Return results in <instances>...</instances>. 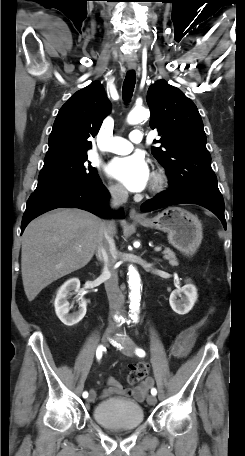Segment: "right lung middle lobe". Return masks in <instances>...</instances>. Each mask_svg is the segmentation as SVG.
<instances>
[{"instance_id":"obj_1","label":"right lung middle lobe","mask_w":245,"mask_h":456,"mask_svg":"<svg viewBox=\"0 0 245 456\" xmlns=\"http://www.w3.org/2000/svg\"><path fill=\"white\" fill-rule=\"evenodd\" d=\"M86 161L87 155H83L43 166L35 192L89 185L100 180L97 170L89 166L90 162L88 164Z\"/></svg>"}]
</instances>
